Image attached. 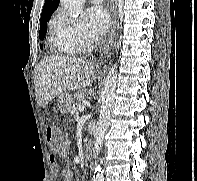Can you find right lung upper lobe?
Wrapping results in <instances>:
<instances>
[{
  "instance_id": "1",
  "label": "right lung upper lobe",
  "mask_w": 197,
  "mask_h": 181,
  "mask_svg": "<svg viewBox=\"0 0 197 181\" xmlns=\"http://www.w3.org/2000/svg\"><path fill=\"white\" fill-rule=\"evenodd\" d=\"M59 5V0H45L41 16L53 14Z\"/></svg>"
}]
</instances>
